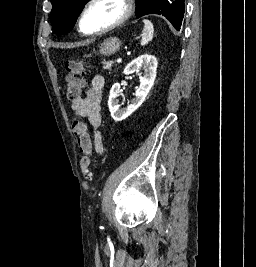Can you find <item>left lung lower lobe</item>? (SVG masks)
<instances>
[{
    "mask_svg": "<svg viewBox=\"0 0 256 267\" xmlns=\"http://www.w3.org/2000/svg\"><path fill=\"white\" fill-rule=\"evenodd\" d=\"M185 4L184 0H175V18L172 25L176 30H180L182 19L184 17Z\"/></svg>",
    "mask_w": 256,
    "mask_h": 267,
    "instance_id": "obj_1",
    "label": "left lung lower lobe"
}]
</instances>
